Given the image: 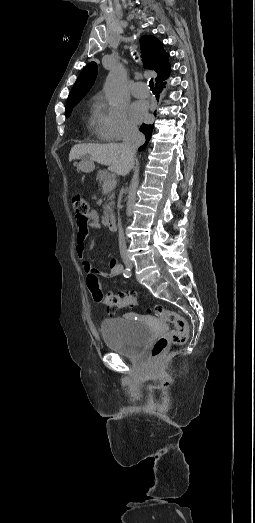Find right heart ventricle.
Listing matches in <instances>:
<instances>
[{
	"label": "right heart ventricle",
	"mask_w": 255,
	"mask_h": 523,
	"mask_svg": "<svg viewBox=\"0 0 255 523\" xmlns=\"http://www.w3.org/2000/svg\"><path fill=\"white\" fill-rule=\"evenodd\" d=\"M89 131L91 135L100 142L108 141L113 136L109 128V120L106 114V109L96 104L93 107L91 117L89 119Z\"/></svg>",
	"instance_id": "e07e8e85"
}]
</instances>
